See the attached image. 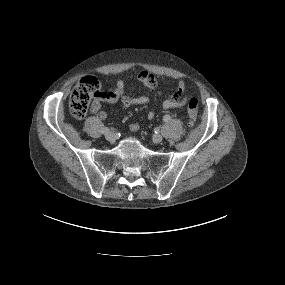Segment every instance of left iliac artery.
Segmentation results:
<instances>
[{
	"instance_id": "obj_1",
	"label": "left iliac artery",
	"mask_w": 285,
	"mask_h": 285,
	"mask_svg": "<svg viewBox=\"0 0 285 285\" xmlns=\"http://www.w3.org/2000/svg\"><path fill=\"white\" fill-rule=\"evenodd\" d=\"M171 119V117H170V115H164L163 116V120L165 121V122H168L169 120Z\"/></svg>"
}]
</instances>
